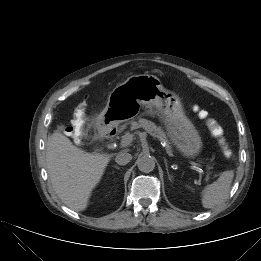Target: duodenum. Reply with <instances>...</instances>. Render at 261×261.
Segmentation results:
<instances>
[{"label":"duodenum","mask_w":261,"mask_h":261,"mask_svg":"<svg viewBox=\"0 0 261 261\" xmlns=\"http://www.w3.org/2000/svg\"><path fill=\"white\" fill-rule=\"evenodd\" d=\"M105 138H109L110 137V134H106L104 135Z\"/></svg>","instance_id":"410a0bca"}]
</instances>
